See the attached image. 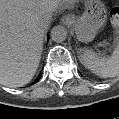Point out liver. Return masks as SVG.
Masks as SVG:
<instances>
[{
	"instance_id": "liver-1",
	"label": "liver",
	"mask_w": 119,
	"mask_h": 119,
	"mask_svg": "<svg viewBox=\"0 0 119 119\" xmlns=\"http://www.w3.org/2000/svg\"><path fill=\"white\" fill-rule=\"evenodd\" d=\"M67 0H0V84L21 87L34 77L43 52L44 30ZM45 28V29H46Z\"/></svg>"
}]
</instances>
